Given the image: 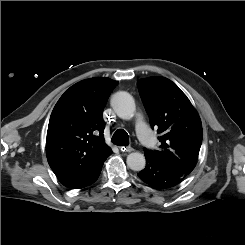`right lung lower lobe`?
<instances>
[{"instance_id":"right-lung-lower-lobe-1","label":"right lung lower lobe","mask_w":245,"mask_h":245,"mask_svg":"<svg viewBox=\"0 0 245 245\" xmlns=\"http://www.w3.org/2000/svg\"><path fill=\"white\" fill-rule=\"evenodd\" d=\"M101 169L102 167L98 168L91 176H89L83 182H80L79 184H77L75 187H73V189H80V188H84L86 186L93 184L98 179L101 173Z\"/></svg>"}]
</instances>
